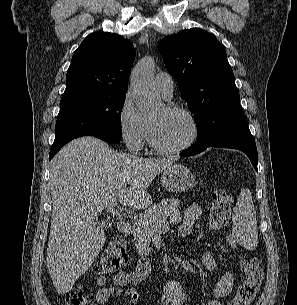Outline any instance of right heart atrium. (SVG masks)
<instances>
[{
    "mask_svg": "<svg viewBox=\"0 0 297 305\" xmlns=\"http://www.w3.org/2000/svg\"><path fill=\"white\" fill-rule=\"evenodd\" d=\"M120 137L131 152H139L148 136V123L136 108L130 91H127L118 110Z\"/></svg>",
    "mask_w": 297,
    "mask_h": 305,
    "instance_id": "obj_1",
    "label": "right heart atrium"
}]
</instances>
